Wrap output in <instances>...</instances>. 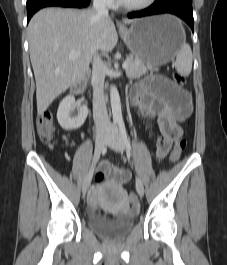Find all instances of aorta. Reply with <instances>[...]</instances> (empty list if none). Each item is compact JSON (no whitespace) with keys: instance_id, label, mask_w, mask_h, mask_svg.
<instances>
[{"instance_id":"1","label":"aorta","mask_w":227,"mask_h":265,"mask_svg":"<svg viewBox=\"0 0 227 265\" xmlns=\"http://www.w3.org/2000/svg\"><path fill=\"white\" fill-rule=\"evenodd\" d=\"M110 102H111V109H112L114 123L121 122L122 111H121L120 96L115 86L110 87Z\"/></svg>"}]
</instances>
